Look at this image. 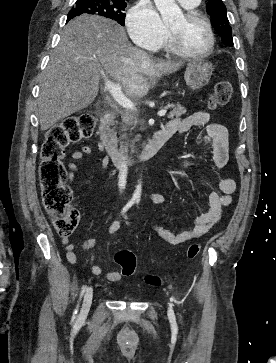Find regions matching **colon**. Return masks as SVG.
I'll use <instances>...</instances> for the list:
<instances>
[{
  "mask_svg": "<svg viewBox=\"0 0 276 363\" xmlns=\"http://www.w3.org/2000/svg\"><path fill=\"white\" fill-rule=\"evenodd\" d=\"M231 95V84L227 81L219 82L210 96V108L217 109L225 106ZM94 126L95 117L90 113L68 116L47 130L41 147L39 180L42 203L51 217L54 230L62 237L71 235L80 219L79 211L71 206L72 191L66 185L68 173L63 164L65 149L69 144L89 138ZM199 250L198 244L190 245L187 258L194 259ZM115 260L122 267L123 275L130 276L134 273L136 257L131 251L118 252ZM144 280L152 286L162 284V280L154 275H147Z\"/></svg>",
  "mask_w": 276,
  "mask_h": 363,
  "instance_id": "obj_1",
  "label": "colon"
}]
</instances>
